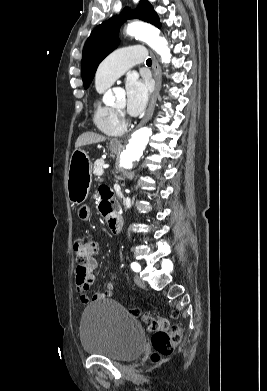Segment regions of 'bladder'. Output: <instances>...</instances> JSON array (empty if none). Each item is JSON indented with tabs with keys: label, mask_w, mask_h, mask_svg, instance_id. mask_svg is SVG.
I'll use <instances>...</instances> for the list:
<instances>
[{
	"label": "bladder",
	"mask_w": 267,
	"mask_h": 391,
	"mask_svg": "<svg viewBox=\"0 0 267 391\" xmlns=\"http://www.w3.org/2000/svg\"><path fill=\"white\" fill-rule=\"evenodd\" d=\"M80 339L85 353L123 362L141 354L145 333L122 305L114 300H104L84 311Z\"/></svg>",
	"instance_id": "obj_1"
}]
</instances>
